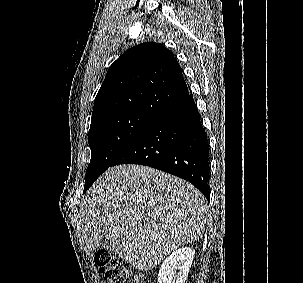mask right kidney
Here are the masks:
<instances>
[{
  "mask_svg": "<svg viewBox=\"0 0 303 283\" xmlns=\"http://www.w3.org/2000/svg\"><path fill=\"white\" fill-rule=\"evenodd\" d=\"M195 250L190 247L172 252L162 263L158 283H184L193 262Z\"/></svg>",
  "mask_w": 303,
  "mask_h": 283,
  "instance_id": "right-kidney-1",
  "label": "right kidney"
}]
</instances>
